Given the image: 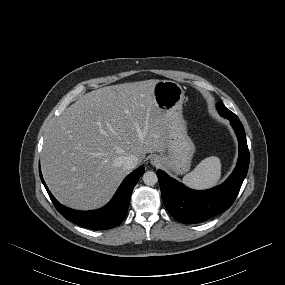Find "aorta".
<instances>
[{"label":"aorta","instance_id":"aorta-1","mask_svg":"<svg viewBox=\"0 0 285 285\" xmlns=\"http://www.w3.org/2000/svg\"><path fill=\"white\" fill-rule=\"evenodd\" d=\"M143 182L148 186H154L158 182V177L155 172L147 171L143 174Z\"/></svg>","mask_w":285,"mask_h":285}]
</instances>
